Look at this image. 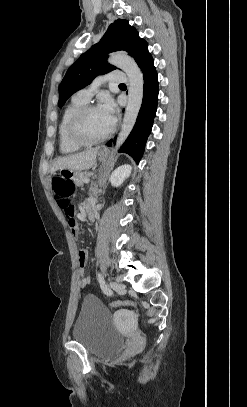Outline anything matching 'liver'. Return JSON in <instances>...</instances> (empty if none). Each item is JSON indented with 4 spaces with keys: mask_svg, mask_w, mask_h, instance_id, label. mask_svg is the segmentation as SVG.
<instances>
[{
    "mask_svg": "<svg viewBox=\"0 0 247 407\" xmlns=\"http://www.w3.org/2000/svg\"><path fill=\"white\" fill-rule=\"evenodd\" d=\"M98 150L99 147H96L81 153L60 157L54 162L51 172L54 173L63 169L71 171L90 169L96 161Z\"/></svg>",
    "mask_w": 247,
    "mask_h": 407,
    "instance_id": "6515ba94",
    "label": "liver"
}]
</instances>
